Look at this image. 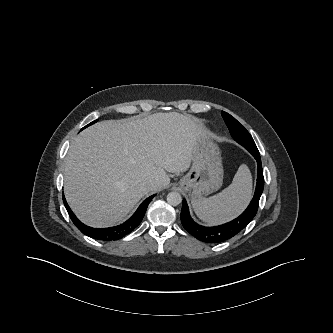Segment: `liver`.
<instances>
[{"label":"liver","mask_w":333,"mask_h":333,"mask_svg":"<svg viewBox=\"0 0 333 333\" xmlns=\"http://www.w3.org/2000/svg\"><path fill=\"white\" fill-rule=\"evenodd\" d=\"M204 137L197 119L177 112L98 122L75 138L65 158L67 202L91 227L118 224L146 194L170 183L167 172L188 170Z\"/></svg>","instance_id":"6515ba94"}]
</instances>
